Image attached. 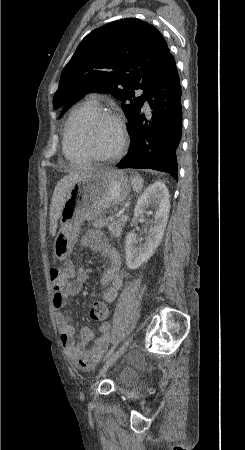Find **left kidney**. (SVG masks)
Returning a JSON list of instances; mask_svg holds the SVG:
<instances>
[{"instance_id": "1", "label": "left kidney", "mask_w": 245, "mask_h": 450, "mask_svg": "<svg viewBox=\"0 0 245 450\" xmlns=\"http://www.w3.org/2000/svg\"><path fill=\"white\" fill-rule=\"evenodd\" d=\"M168 188L164 183L158 181L145 189L139 197L134 208V218L131 226L137 223V218L143 214L150 216L149 207L154 209V225L150 228L144 243H138L136 235L129 233L126 236L125 254L126 265L130 269L139 268L154 254L159 246L167 225L170 202Z\"/></svg>"}]
</instances>
